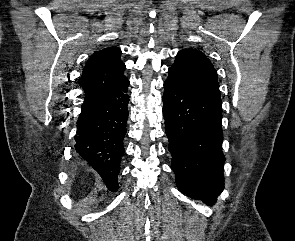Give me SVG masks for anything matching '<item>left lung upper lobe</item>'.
Returning <instances> with one entry per match:
<instances>
[{"instance_id":"1","label":"left lung upper lobe","mask_w":295,"mask_h":241,"mask_svg":"<svg viewBox=\"0 0 295 241\" xmlns=\"http://www.w3.org/2000/svg\"><path fill=\"white\" fill-rule=\"evenodd\" d=\"M169 71L199 95L221 102L216 70L201 51L180 50Z\"/></svg>"}]
</instances>
